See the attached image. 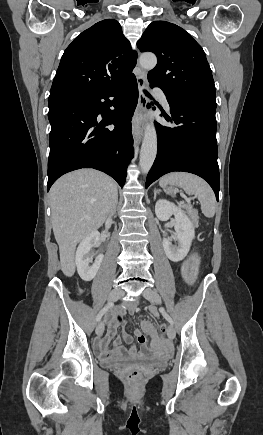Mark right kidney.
<instances>
[{
    "instance_id": "1",
    "label": "right kidney",
    "mask_w": 263,
    "mask_h": 435,
    "mask_svg": "<svg viewBox=\"0 0 263 435\" xmlns=\"http://www.w3.org/2000/svg\"><path fill=\"white\" fill-rule=\"evenodd\" d=\"M99 245L100 234L97 231H93L80 242L77 248L75 263L78 274L84 281H91L96 276L101 266L104 258L102 254L98 255L94 263H92L93 257L95 256L93 248Z\"/></svg>"
}]
</instances>
